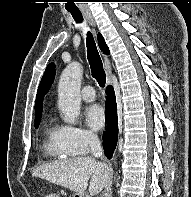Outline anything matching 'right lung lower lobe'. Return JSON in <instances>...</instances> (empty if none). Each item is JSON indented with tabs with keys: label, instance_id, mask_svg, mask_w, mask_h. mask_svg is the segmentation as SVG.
Segmentation results:
<instances>
[{
	"label": "right lung lower lobe",
	"instance_id": "right-lung-lower-lobe-1",
	"mask_svg": "<svg viewBox=\"0 0 191 197\" xmlns=\"http://www.w3.org/2000/svg\"><path fill=\"white\" fill-rule=\"evenodd\" d=\"M106 93L108 100L106 103L107 114L105 116L107 121V130L103 135V147L105 155L110 159L117 144L118 118L116 98L113 87L108 86L106 88Z\"/></svg>",
	"mask_w": 191,
	"mask_h": 197
}]
</instances>
